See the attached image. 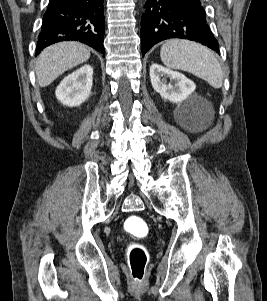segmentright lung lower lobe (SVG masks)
I'll return each mask as SVG.
<instances>
[{
	"mask_svg": "<svg viewBox=\"0 0 267 301\" xmlns=\"http://www.w3.org/2000/svg\"><path fill=\"white\" fill-rule=\"evenodd\" d=\"M103 0H50L38 36L36 56L60 41H80L104 56Z\"/></svg>",
	"mask_w": 267,
	"mask_h": 301,
	"instance_id": "1",
	"label": "right lung lower lobe"
}]
</instances>
